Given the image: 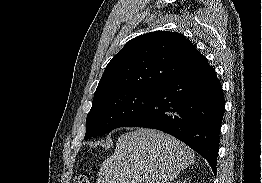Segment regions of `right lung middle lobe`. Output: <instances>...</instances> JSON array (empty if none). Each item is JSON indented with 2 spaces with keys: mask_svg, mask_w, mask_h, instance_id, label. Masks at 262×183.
I'll return each instance as SVG.
<instances>
[{
  "mask_svg": "<svg viewBox=\"0 0 262 183\" xmlns=\"http://www.w3.org/2000/svg\"><path fill=\"white\" fill-rule=\"evenodd\" d=\"M157 90L125 89L95 97L86 119L85 139L124 127L150 104Z\"/></svg>",
  "mask_w": 262,
  "mask_h": 183,
  "instance_id": "dd1d6c3e",
  "label": "right lung middle lobe"
}]
</instances>
